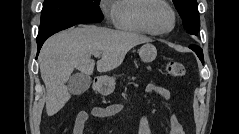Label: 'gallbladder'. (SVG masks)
Returning a JSON list of instances; mask_svg holds the SVG:
<instances>
[{
    "instance_id": "bac80fb5",
    "label": "gallbladder",
    "mask_w": 239,
    "mask_h": 134,
    "mask_svg": "<svg viewBox=\"0 0 239 134\" xmlns=\"http://www.w3.org/2000/svg\"><path fill=\"white\" fill-rule=\"evenodd\" d=\"M90 84V76L83 73H77L70 77L68 89L70 93L74 95H80L90 87Z\"/></svg>"
}]
</instances>
